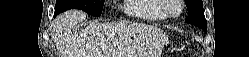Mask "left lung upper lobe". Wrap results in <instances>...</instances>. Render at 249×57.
<instances>
[{
	"label": "left lung upper lobe",
	"instance_id": "1",
	"mask_svg": "<svg viewBox=\"0 0 249 57\" xmlns=\"http://www.w3.org/2000/svg\"><path fill=\"white\" fill-rule=\"evenodd\" d=\"M185 3L189 13L185 21L202 29H206L207 24L204 17L202 0H185Z\"/></svg>",
	"mask_w": 249,
	"mask_h": 57
}]
</instances>
